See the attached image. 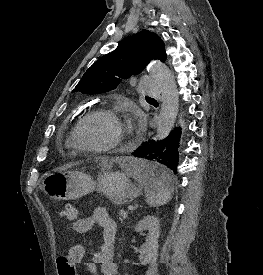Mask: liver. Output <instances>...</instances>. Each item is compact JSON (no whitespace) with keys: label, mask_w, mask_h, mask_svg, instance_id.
<instances>
[{"label":"liver","mask_w":263,"mask_h":275,"mask_svg":"<svg viewBox=\"0 0 263 275\" xmlns=\"http://www.w3.org/2000/svg\"><path fill=\"white\" fill-rule=\"evenodd\" d=\"M127 161V159L126 158H117V159H110V160H108V159H105L104 160V164H106V165H110V164H112V163H114V162H126Z\"/></svg>","instance_id":"1"}]
</instances>
